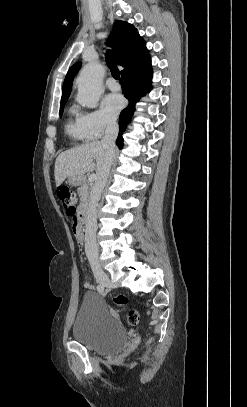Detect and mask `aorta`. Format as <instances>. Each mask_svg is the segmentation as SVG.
Listing matches in <instances>:
<instances>
[{
    "instance_id": "obj_1",
    "label": "aorta",
    "mask_w": 247,
    "mask_h": 407,
    "mask_svg": "<svg viewBox=\"0 0 247 407\" xmlns=\"http://www.w3.org/2000/svg\"><path fill=\"white\" fill-rule=\"evenodd\" d=\"M105 68L93 62L87 64L81 71L78 79L77 101L89 108H95L102 94V80Z\"/></svg>"
}]
</instances>
